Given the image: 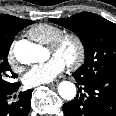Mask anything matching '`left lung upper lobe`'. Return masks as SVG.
I'll use <instances>...</instances> for the list:
<instances>
[{
  "label": "left lung upper lobe",
  "instance_id": "obj_1",
  "mask_svg": "<svg viewBox=\"0 0 116 116\" xmlns=\"http://www.w3.org/2000/svg\"><path fill=\"white\" fill-rule=\"evenodd\" d=\"M74 32L85 51V63L76 71L85 78L116 73V24L101 16L82 12L67 19H49Z\"/></svg>",
  "mask_w": 116,
  "mask_h": 116
}]
</instances>
